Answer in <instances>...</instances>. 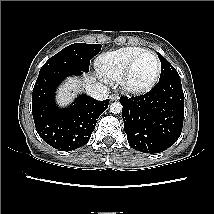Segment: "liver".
<instances>
[{
  "mask_svg": "<svg viewBox=\"0 0 214 214\" xmlns=\"http://www.w3.org/2000/svg\"><path fill=\"white\" fill-rule=\"evenodd\" d=\"M95 82V77L85 76L82 80L76 78H68L57 91V103L60 106H66L69 104L75 96V93L79 91L80 87H87ZM73 91V93H71Z\"/></svg>",
  "mask_w": 214,
  "mask_h": 214,
  "instance_id": "obj_1",
  "label": "liver"
}]
</instances>
